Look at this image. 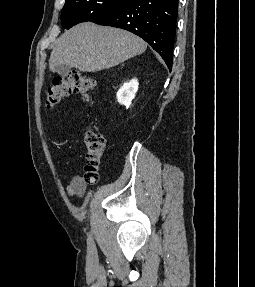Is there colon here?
<instances>
[{
	"instance_id": "1",
	"label": "colon",
	"mask_w": 255,
	"mask_h": 287,
	"mask_svg": "<svg viewBox=\"0 0 255 287\" xmlns=\"http://www.w3.org/2000/svg\"><path fill=\"white\" fill-rule=\"evenodd\" d=\"M95 81L82 75L79 71H71L65 78H57L53 81L45 96L48 108L59 105L71 94H81L89 99ZM86 146V166L84 179L87 183L94 184L99 179V166L105 149V139L102 134L88 129L84 137Z\"/></svg>"
}]
</instances>
